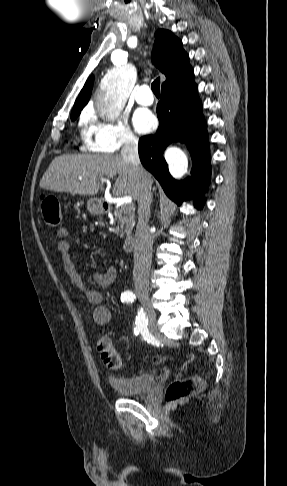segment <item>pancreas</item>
Here are the masks:
<instances>
[{"mask_svg":"<svg viewBox=\"0 0 287 486\" xmlns=\"http://www.w3.org/2000/svg\"><path fill=\"white\" fill-rule=\"evenodd\" d=\"M132 206H122L114 211V220L117 221V225L114 232L120 235L121 238L125 234L131 233L135 224V214L132 211Z\"/></svg>","mask_w":287,"mask_h":486,"instance_id":"obj_1","label":"pancreas"}]
</instances>
